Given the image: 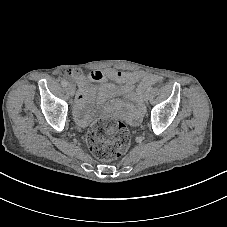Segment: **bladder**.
<instances>
[{
	"label": "bladder",
	"instance_id": "31cf9c89",
	"mask_svg": "<svg viewBox=\"0 0 227 227\" xmlns=\"http://www.w3.org/2000/svg\"><path fill=\"white\" fill-rule=\"evenodd\" d=\"M130 92H131V89L128 87L124 89L120 88V91L117 88H114L111 92V97L127 96Z\"/></svg>",
	"mask_w": 227,
	"mask_h": 227
}]
</instances>
